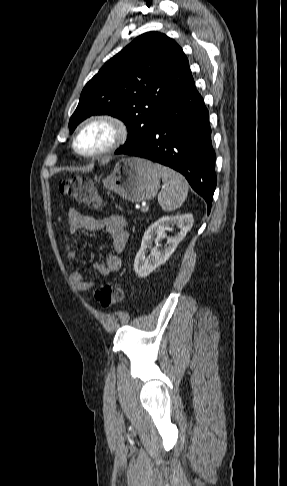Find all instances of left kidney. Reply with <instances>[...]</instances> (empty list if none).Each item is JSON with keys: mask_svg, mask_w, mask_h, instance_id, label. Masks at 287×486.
<instances>
[{"mask_svg": "<svg viewBox=\"0 0 287 486\" xmlns=\"http://www.w3.org/2000/svg\"><path fill=\"white\" fill-rule=\"evenodd\" d=\"M194 223L193 215L190 213L175 216H165L152 223L145 231L142 238L141 247L136 254L134 270L140 278L147 277L157 267L165 263L178 244L185 238ZM170 225H176L180 231L174 237H167L166 231ZM167 238L164 249H159V241ZM153 240L155 247H152ZM151 248V257H147V249Z\"/></svg>", "mask_w": 287, "mask_h": 486, "instance_id": "obj_1", "label": "left kidney"}]
</instances>
